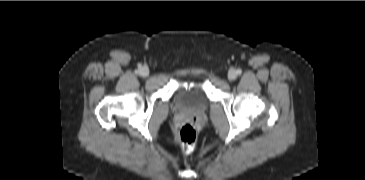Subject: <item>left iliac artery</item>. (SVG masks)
<instances>
[{"mask_svg": "<svg viewBox=\"0 0 365 180\" xmlns=\"http://www.w3.org/2000/svg\"><path fill=\"white\" fill-rule=\"evenodd\" d=\"M241 73H242L241 69H238V70H237V74H239V75H240Z\"/></svg>", "mask_w": 365, "mask_h": 180, "instance_id": "1", "label": "left iliac artery"}]
</instances>
